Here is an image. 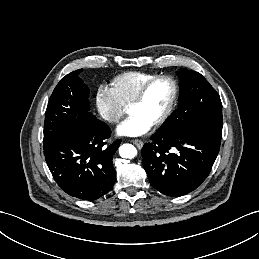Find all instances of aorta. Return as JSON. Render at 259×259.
Wrapping results in <instances>:
<instances>
[{
  "label": "aorta",
  "instance_id": "aorta-1",
  "mask_svg": "<svg viewBox=\"0 0 259 259\" xmlns=\"http://www.w3.org/2000/svg\"><path fill=\"white\" fill-rule=\"evenodd\" d=\"M122 158L133 159L137 155V149L132 144H123L119 148Z\"/></svg>",
  "mask_w": 259,
  "mask_h": 259
}]
</instances>
